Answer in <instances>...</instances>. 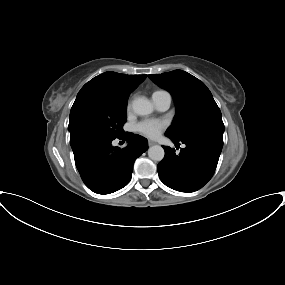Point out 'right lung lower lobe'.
<instances>
[{"instance_id":"1","label":"right lung lower lobe","mask_w":285,"mask_h":285,"mask_svg":"<svg viewBox=\"0 0 285 285\" xmlns=\"http://www.w3.org/2000/svg\"><path fill=\"white\" fill-rule=\"evenodd\" d=\"M126 148L112 146L114 139L90 137L71 144L76 167L85 185L95 193L109 194L125 187L134 161L148 149L142 136L125 133Z\"/></svg>"}]
</instances>
